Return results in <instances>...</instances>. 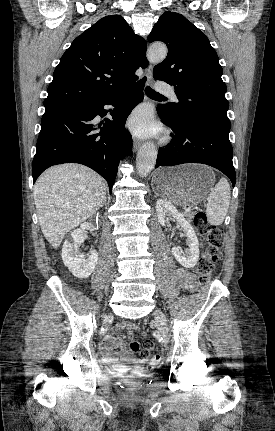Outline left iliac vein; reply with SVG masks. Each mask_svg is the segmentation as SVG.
I'll return each instance as SVG.
<instances>
[{"label":"left iliac vein","mask_w":275,"mask_h":431,"mask_svg":"<svg viewBox=\"0 0 275 431\" xmlns=\"http://www.w3.org/2000/svg\"><path fill=\"white\" fill-rule=\"evenodd\" d=\"M153 316L157 323L159 332L161 333L164 341L167 342L170 337V330L165 314L160 309H156L153 313Z\"/></svg>","instance_id":"obj_1"}]
</instances>
